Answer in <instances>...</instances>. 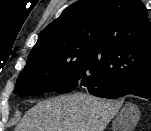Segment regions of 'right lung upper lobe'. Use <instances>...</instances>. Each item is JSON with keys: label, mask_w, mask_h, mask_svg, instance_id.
Returning <instances> with one entry per match:
<instances>
[{"label": "right lung upper lobe", "mask_w": 151, "mask_h": 131, "mask_svg": "<svg viewBox=\"0 0 151 131\" xmlns=\"http://www.w3.org/2000/svg\"><path fill=\"white\" fill-rule=\"evenodd\" d=\"M74 43L109 81L151 78V23L140 0H79L38 37L34 47Z\"/></svg>", "instance_id": "right-lung-upper-lobe-1"}]
</instances>
